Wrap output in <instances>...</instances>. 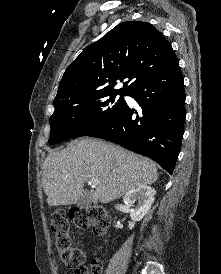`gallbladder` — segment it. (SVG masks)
<instances>
[{
    "mask_svg": "<svg viewBox=\"0 0 221 274\" xmlns=\"http://www.w3.org/2000/svg\"><path fill=\"white\" fill-rule=\"evenodd\" d=\"M90 204H91V198L89 193L87 192H85L83 196L77 202V206L81 208L88 207Z\"/></svg>",
    "mask_w": 221,
    "mask_h": 274,
    "instance_id": "obj_1",
    "label": "gallbladder"
}]
</instances>
